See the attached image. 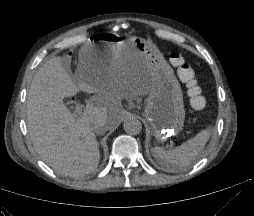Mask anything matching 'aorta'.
Instances as JSON below:
<instances>
[{
    "mask_svg": "<svg viewBox=\"0 0 254 216\" xmlns=\"http://www.w3.org/2000/svg\"><path fill=\"white\" fill-rule=\"evenodd\" d=\"M123 128L129 135H138L142 130V124L137 118L128 117L124 121Z\"/></svg>",
    "mask_w": 254,
    "mask_h": 216,
    "instance_id": "762f6f07",
    "label": "aorta"
}]
</instances>
